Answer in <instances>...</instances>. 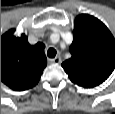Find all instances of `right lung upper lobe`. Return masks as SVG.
I'll return each instance as SVG.
<instances>
[{"instance_id":"cb5924a9","label":"right lung upper lobe","mask_w":115,"mask_h":114,"mask_svg":"<svg viewBox=\"0 0 115 114\" xmlns=\"http://www.w3.org/2000/svg\"><path fill=\"white\" fill-rule=\"evenodd\" d=\"M11 29L1 36V81L16 91L34 87L47 65L45 45L28 43L27 36L13 35Z\"/></svg>"}]
</instances>
